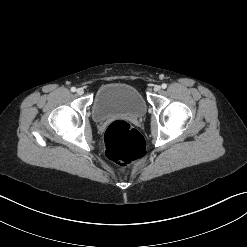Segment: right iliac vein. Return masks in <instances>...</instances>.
<instances>
[{"instance_id":"1","label":"right iliac vein","mask_w":247,"mask_h":247,"mask_svg":"<svg viewBox=\"0 0 247 247\" xmlns=\"http://www.w3.org/2000/svg\"><path fill=\"white\" fill-rule=\"evenodd\" d=\"M76 92L78 95H82L84 93V90L83 88H78Z\"/></svg>"}]
</instances>
